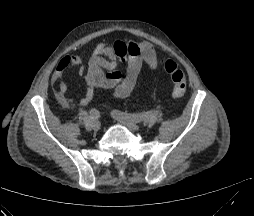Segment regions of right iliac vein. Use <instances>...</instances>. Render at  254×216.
Masks as SVG:
<instances>
[{"mask_svg": "<svg viewBox=\"0 0 254 216\" xmlns=\"http://www.w3.org/2000/svg\"><path fill=\"white\" fill-rule=\"evenodd\" d=\"M92 128L95 131H98L101 128V122L99 120H94L92 122Z\"/></svg>", "mask_w": 254, "mask_h": 216, "instance_id": "obj_1", "label": "right iliac vein"}]
</instances>
